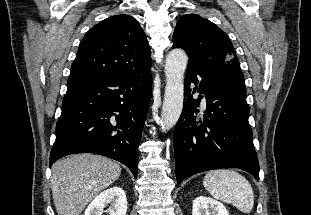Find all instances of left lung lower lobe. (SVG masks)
<instances>
[{"mask_svg":"<svg viewBox=\"0 0 311 215\" xmlns=\"http://www.w3.org/2000/svg\"><path fill=\"white\" fill-rule=\"evenodd\" d=\"M191 91V83L197 84ZM199 92V99L192 94ZM205 97L206 110L198 109ZM246 93L222 84L206 70L188 63L184 106L174 130L177 184L199 172L239 168L259 179V163L248 122Z\"/></svg>","mask_w":311,"mask_h":215,"instance_id":"obj_1","label":"left lung lower lobe"}]
</instances>
